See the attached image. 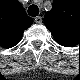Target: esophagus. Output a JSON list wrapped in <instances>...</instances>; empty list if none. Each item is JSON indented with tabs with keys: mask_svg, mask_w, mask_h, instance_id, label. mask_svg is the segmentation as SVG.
<instances>
[{
	"mask_svg": "<svg viewBox=\"0 0 80 80\" xmlns=\"http://www.w3.org/2000/svg\"><path fill=\"white\" fill-rule=\"evenodd\" d=\"M34 21L38 24H41L42 23V17L41 16H37L35 17Z\"/></svg>",
	"mask_w": 80,
	"mask_h": 80,
	"instance_id": "1",
	"label": "esophagus"
}]
</instances>
